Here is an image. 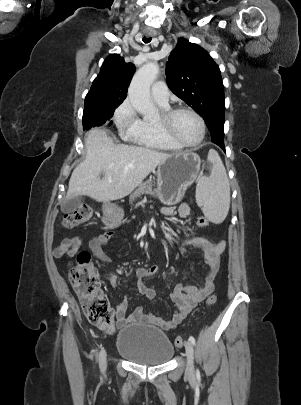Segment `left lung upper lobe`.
I'll use <instances>...</instances> for the list:
<instances>
[{
  "mask_svg": "<svg viewBox=\"0 0 301 405\" xmlns=\"http://www.w3.org/2000/svg\"><path fill=\"white\" fill-rule=\"evenodd\" d=\"M167 84L204 119L211 139H224V86L218 65L207 51L178 41L166 63Z\"/></svg>",
  "mask_w": 301,
  "mask_h": 405,
  "instance_id": "1",
  "label": "left lung upper lobe"
}]
</instances>
